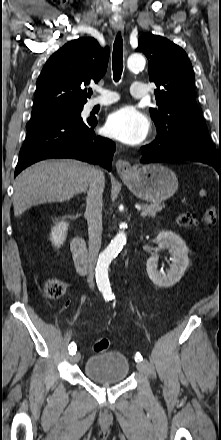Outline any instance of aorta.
<instances>
[{"mask_svg": "<svg viewBox=\"0 0 221 440\" xmlns=\"http://www.w3.org/2000/svg\"><path fill=\"white\" fill-rule=\"evenodd\" d=\"M146 61L141 54H132L127 60V66L131 71L143 69ZM126 244V234L120 231L110 242L107 248L99 256L96 267V281L99 288L104 292H110V282L108 278V268L112 259Z\"/></svg>", "mask_w": 221, "mask_h": 440, "instance_id": "1", "label": "aorta"}]
</instances>
